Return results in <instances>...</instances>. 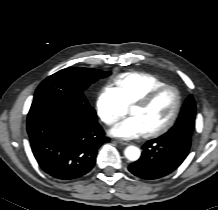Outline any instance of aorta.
Returning <instances> with one entry per match:
<instances>
[{"instance_id":"obj_1","label":"aorta","mask_w":218,"mask_h":210,"mask_svg":"<svg viewBox=\"0 0 218 210\" xmlns=\"http://www.w3.org/2000/svg\"><path fill=\"white\" fill-rule=\"evenodd\" d=\"M124 155L129 161H137L140 158L141 151L136 146H128L124 150Z\"/></svg>"}]
</instances>
